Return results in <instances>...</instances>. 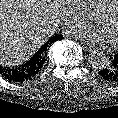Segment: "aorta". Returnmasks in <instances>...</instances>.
<instances>
[{"label":"aorta","instance_id":"aorta-1","mask_svg":"<svg viewBox=\"0 0 118 118\" xmlns=\"http://www.w3.org/2000/svg\"><path fill=\"white\" fill-rule=\"evenodd\" d=\"M108 57L101 51H94L90 57V63L94 68L102 69L108 63Z\"/></svg>","mask_w":118,"mask_h":118}]
</instances>
